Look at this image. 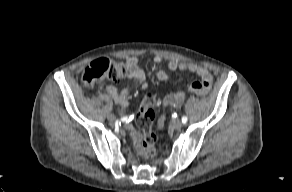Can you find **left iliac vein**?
Masks as SVG:
<instances>
[{
    "mask_svg": "<svg viewBox=\"0 0 292 192\" xmlns=\"http://www.w3.org/2000/svg\"><path fill=\"white\" fill-rule=\"evenodd\" d=\"M183 123L179 120V119H176L172 122V127L174 129H180L182 127Z\"/></svg>",
    "mask_w": 292,
    "mask_h": 192,
    "instance_id": "1",
    "label": "left iliac vein"
}]
</instances>
